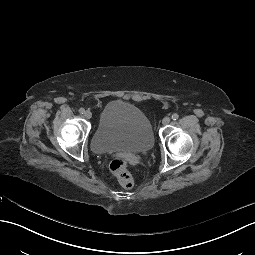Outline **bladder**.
Instances as JSON below:
<instances>
[{
  "label": "bladder",
  "instance_id": "1",
  "mask_svg": "<svg viewBox=\"0 0 255 255\" xmlns=\"http://www.w3.org/2000/svg\"><path fill=\"white\" fill-rule=\"evenodd\" d=\"M153 144L147 116L138 107L120 100L105 106L91 137V148L97 154L115 150L146 152Z\"/></svg>",
  "mask_w": 255,
  "mask_h": 255
}]
</instances>
